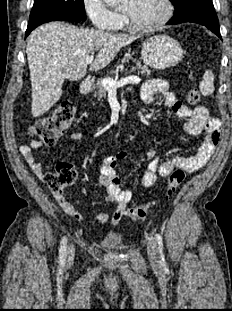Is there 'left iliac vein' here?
<instances>
[{
    "label": "left iliac vein",
    "instance_id": "1",
    "mask_svg": "<svg viewBox=\"0 0 232 311\" xmlns=\"http://www.w3.org/2000/svg\"><path fill=\"white\" fill-rule=\"evenodd\" d=\"M147 253L150 262L152 263H159L160 256L158 252V247L156 241H150L147 245Z\"/></svg>",
    "mask_w": 232,
    "mask_h": 311
}]
</instances>
